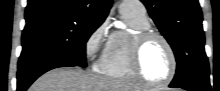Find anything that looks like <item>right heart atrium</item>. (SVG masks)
Masks as SVG:
<instances>
[{"label":"right heart atrium","instance_id":"obj_1","mask_svg":"<svg viewBox=\"0 0 220 91\" xmlns=\"http://www.w3.org/2000/svg\"><path fill=\"white\" fill-rule=\"evenodd\" d=\"M106 38V25L100 24L86 38L84 44L85 56L93 61L102 51Z\"/></svg>","mask_w":220,"mask_h":91}]
</instances>
